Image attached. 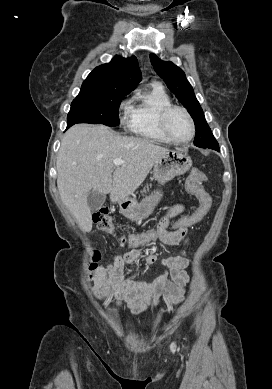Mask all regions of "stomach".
<instances>
[{
  "label": "stomach",
  "instance_id": "0dacf381",
  "mask_svg": "<svg viewBox=\"0 0 272 389\" xmlns=\"http://www.w3.org/2000/svg\"><path fill=\"white\" fill-rule=\"evenodd\" d=\"M192 166V160L180 151L169 150L155 163L153 174L155 180L164 185L176 176L185 174ZM162 197L160 191L146 196L141 202L131 198L122 199L119 202L120 212L131 220L147 218L154 210Z\"/></svg>",
  "mask_w": 272,
  "mask_h": 389
}]
</instances>
